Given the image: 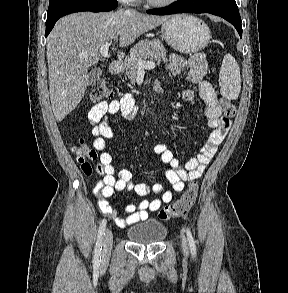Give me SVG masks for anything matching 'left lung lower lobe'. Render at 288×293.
Returning a JSON list of instances; mask_svg holds the SVG:
<instances>
[{
	"mask_svg": "<svg viewBox=\"0 0 288 293\" xmlns=\"http://www.w3.org/2000/svg\"><path fill=\"white\" fill-rule=\"evenodd\" d=\"M148 14L170 15L176 13H210L220 16L234 25L242 37L241 17L237 5H230L218 0L194 2L191 0H178L170 6L147 11Z\"/></svg>",
	"mask_w": 288,
	"mask_h": 293,
	"instance_id": "left-lung-lower-lobe-1",
	"label": "left lung lower lobe"
}]
</instances>
